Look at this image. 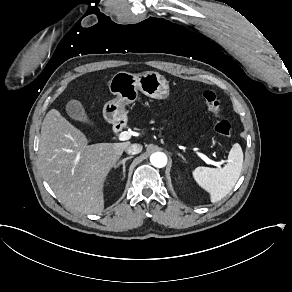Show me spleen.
Wrapping results in <instances>:
<instances>
[{
  "instance_id": "obj_1",
  "label": "spleen",
  "mask_w": 292,
  "mask_h": 292,
  "mask_svg": "<svg viewBox=\"0 0 292 292\" xmlns=\"http://www.w3.org/2000/svg\"><path fill=\"white\" fill-rule=\"evenodd\" d=\"M243 157L241 146L235 143L223 168L197 167L193 171L195 181L210 193L211 202L220 201L235 186L242 171Z\"/></svg>"
}]
</instances>
